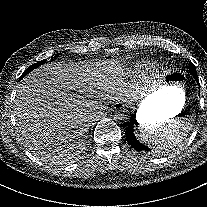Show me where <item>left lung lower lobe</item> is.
I'll return each mask as SVG.
<instances>
[{"mask_svg":"<svg viewBox=\"0 0 207 207\" xmlns=\"http://www.w3.org/2000/svg\"><path fill=\"white\" fill-rule=\"evenodd\" d=\"M195 80L198 82V77H197V72H192L191 73ZM137 123L135 122L134 119L132 118L131 121L127 124V129L125 131L126 139L129 145H131L136 151H149V148L140 143L134 133H133V125Z\"/></svg>","mask_w":207,"mask_h":207,"instance_id":"obj_1","label":"left lung lower lobe"}]
</instances>
